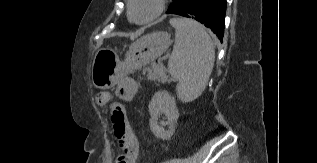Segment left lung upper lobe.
<instances>
[{
	"label": "left lung upper lobe",
	"mask_w": 317,
	"mask_h": 163,
	"mask_svg": "<svg viewBox=\"0 0 317 163\" xmlns=\"http://www.w3.org/2000/svg\"><path fill=\"white\" fill-rule=\"evenodd\" d=\"M180 1L181 0H173V3H171L170 6H169L167 14L171 13L172 11H174L177 8V6H178Z\"/></svg>",
	"instance_id": "left-lung-upper-lobe-1"
}]
</instances>
